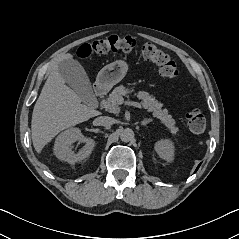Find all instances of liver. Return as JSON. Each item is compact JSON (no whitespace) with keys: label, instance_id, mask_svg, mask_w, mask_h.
Wrapping results in <instances>:
<instances>
[{"label":"liver","instance_id":"6515ba94","mask_svg":"<svg viewBox=\"0 0 239 239\" xmlns=\"http://www.w3.org/2000/svg\"><path fill=\"white\" fill-rule=\"evenodd\" d=\"M72 57L69 53L64 54L59 58V62ZM81 102V97L66 85L56 64L42 88L32 113V142L38 153L62 130L99 115V111Z\"/></svg>","mask_w":239,"mask_h":239}]
</instances>
